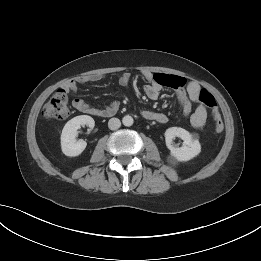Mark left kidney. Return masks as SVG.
Here are the masks:
<instances>
[{
    "label": "left kidney",
    "mask_w": 261,
    "mask_h": 261,
    "mask_svg": "<svg viewBox=\"0 0 261 261\" xmlns=\"http://www.w3.org/2000/svg\"><path fill=\"white\" fill-rule=\"evenodd\" d=\"M165 141L170 155L178 161H189L201 152V145L195 135L190 134L187 130L180 127H171L165 131ZM179 137L184 141L182 147H174L173 139Z\"/></svg>",
    "instance_id": "left-kidney-1"
}]
</instances>
